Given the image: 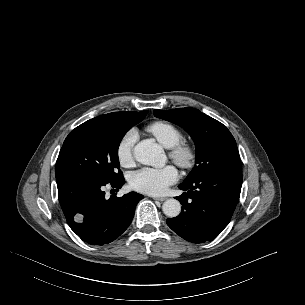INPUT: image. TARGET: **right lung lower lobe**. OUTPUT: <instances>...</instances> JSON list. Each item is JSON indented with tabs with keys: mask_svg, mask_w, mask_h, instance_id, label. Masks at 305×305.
<instances>
[{
	"mask_svg": "<svg viewBox=\"0 0 305 305\" xmlns=\"http://www.w3.org/2000/svg\"><path fill=\"white\" fill-rule=\"evenodd\" d=\"M58 197L68 225L83 241L103 245L114 241L130 225L143 195L130 192L123 197H105L104 186L120 189L121 177L109 183L78 176L56 178Z\"/></svg>",
	"mask_w": 305,
	"mask_h": 305,
	"instance_id": "1",
	"label": "right lung lower lobe"
}]
</instances>
